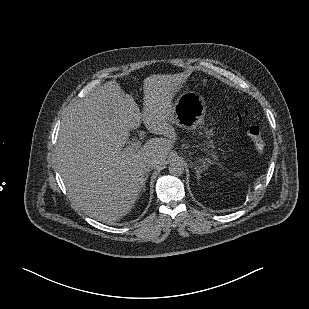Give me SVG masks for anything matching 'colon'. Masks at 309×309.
Here are the masks:
<instances>
[{
	"mask_svg": "<svg viewBox=\"0 0 309 309\" xmlns=\"http://www.w3.org/2000/svg\"><path fill=\"white\" fill-rule=\"evenodd\" d=\"M238 117L240 119L247 120L248 113L246 111H241L239 112ZM246 135L252 140L258 151H263L265 149V141L260 129L257 126L249 124L246 129Z\"/></svg>",
	"mask_w": 309,
	"mask_h": 309,
	"instance_id": "colon-1",
	"label": "colon"
}]
</instances>
